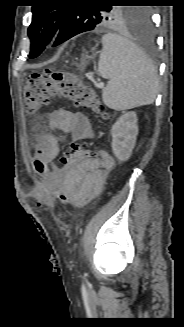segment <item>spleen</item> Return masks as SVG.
Returning <instances> with one entry per match:
<instances>
[{
	"mask_svg": "<svg viewBox=\"0 0 184 327\" xmlns=\"http://www.w3.org/2000/svg\"><path fill=\"white\" fill-rule=\"evenodd\" d=\"M98 71L109 83L103 102L115 110L152 104L159 89L157 71L146 55L131 41L107 33L102 37Z\"/></svg>",
	"mask_w": 184,
	"mask_h": 327,
	"instance_id": "obj_1",
	"label": "spleen"
}]
</instances>
